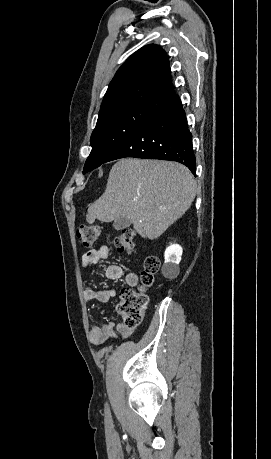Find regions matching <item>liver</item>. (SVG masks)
<instances>
[{"instance_id": "6515ba94", "label": "liver", "mask_w": 271, "mask_h": 459, "mask_svg": "<svg viewBox=\"0 0 271 459\" xmlns=\"http://www.w3.org/2000/svg\"><path fill=\"white\" fill-rule=\"evenodd\" d=\"M196 196L193 176L183 164L122 158L114 164L106 190L88 208V224L131 220L134 229L155 239L182 218Z\"/></svg>"}]
</instances>
